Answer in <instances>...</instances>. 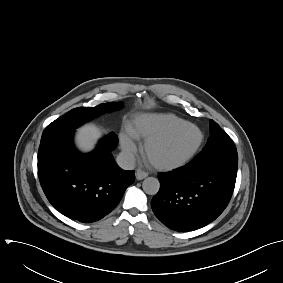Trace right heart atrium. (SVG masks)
<instances>
[{
  "instance_id": "d8ad5b80",
  "label": "right heart atrium",
  "mask_w": 283,
  "mask_h": 283,
  "mask_svg": "<svg viewBox=\"0 0 283 283\" xmlns=\"http://www.w3.org/2000/svg\"><path fill=\"white\" fill-rule=\"evenodd\" d=\"M120 144L124 153L131 155L136 147L133 140L126 133L120 134Z\"/></svg>"
}]
</instances>
